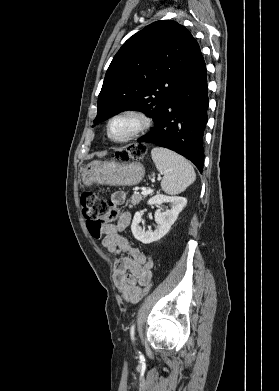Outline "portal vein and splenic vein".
Masks as SVG:
<instances>
[{"instance_id": "portal-vein-and-splenic-vein-1", "label": "portal vein and splenic vein", "mask_w": 279, "mask_h": 391, "mask_svg": "<svg viewBox=\"0 0 279 391\" xmlns=\"http://www.w3.org/2000/svg\"><path fill=\"white\" fill-rule=\"evenodd\" d=\"M151 193H153V190H152V189H144V190L141 192L142 195H148V194H151Z\"/></svg>"}]
</instances>
